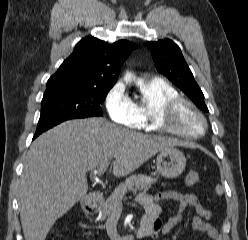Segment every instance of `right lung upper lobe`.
<instances>
[{"instance_id": "cb5924a9", "label": "right lung upper lobe", "mask_w": 248, "mask_h": 240, "mask_svg": "<svg viewBox=\"0 0 248 240\" xmlns=\"http://www.w3.org/2000/svg\"><path fill=\"white\" fill-rule=\"evenodd\" d=\"M135 45L126 40L109 44L93 36L81 39L73 53L47 82L46 91L59 88L111 89Z\"/></svg>"}]
</instances>
